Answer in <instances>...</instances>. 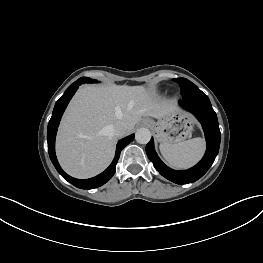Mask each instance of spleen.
<instances>
[{"instance_id": "spleen-1", "label": "spleen", "mask_w": 263, "mask_h": 263, "mask_svg": "<svg viewBox=\"0 0 263 263\" xmlns=\"http://www.w3.org/2000/svg\"><path fill=\"white\" fill-rule=\"evenodd\" d=\"M159 149L164 159L171 166L185 169L192 167L202 158L205 142L198 137L173 144L161 143Z\"/></svg>"}]
</instances>
